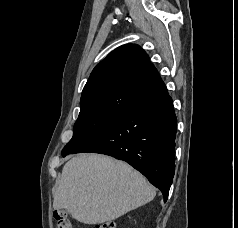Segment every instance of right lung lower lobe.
<instances>
[{"mask_svg": "<svg viewBox=\"0 0 238 228\" xmlns=\"http://www.w3.org/2000/svg\"><path fill=\"white\" fill-rule=\"evenodd\" d=\"M176 128L172 98L165 92L126 111L70 154L94 152L124 160L166 201L175 171Z\"/></svg>", "mask_w": 238, "mask_h": 228, "instance_id": "1", "label": "right lung lower lobe"}]
</instances>
